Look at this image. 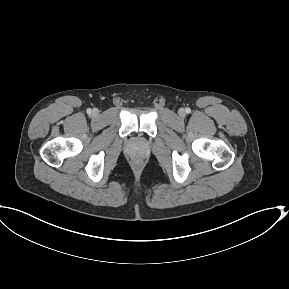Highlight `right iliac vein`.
Here are the masks:
<instances>
[{
    "label": "right iliac vein",
    "mask_w": 289,
    "mask_h": 289,
    "mask_svg": "<svg viewBox=\"0 0 289 289\" xmlns=\"http://www.w3.org/2000/svg\"><path fill=\"white\" fill-rule=\"evenodd\" d=\"M92 114H93L94 116H97V115L99 114V111H98L97 109H94V110L92 111Z\"/></svg>",
    "instance_id": "obj_1"
}]
</instances>
